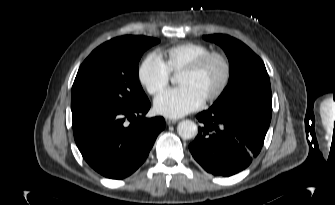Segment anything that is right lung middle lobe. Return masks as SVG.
I'll return each instance as SVG.
<instances>
[{
    "label": "right lung middle lobe",
    "mask_w": 335,
    "mask_h": 205,
    "mask_svg": "<svg viewBox=\"0 0 335 205\" xmlns=\"http://www.w3.org/2000/svg\"><path fill=\"white\" fill-rule=\"evenodd\" d=\"M158 39L121 36L97 47L82 63L71 91V110L120 109L147 98L140 83L138 62Z\"/></svg>",
    "instance_id": "dd1d6c3e"
}]
</instances>
